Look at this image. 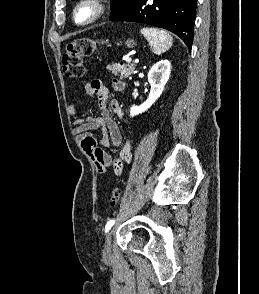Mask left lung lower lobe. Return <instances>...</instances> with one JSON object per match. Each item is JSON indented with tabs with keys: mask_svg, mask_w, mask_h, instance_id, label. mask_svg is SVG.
<instances>
[{
	"mask_svg": "<svg viewBox=\"0 0 259 294\" xmlns=\"http://www.w3.org/2000/svg\"><path fill=\"white\" fill-rule=\"evenodd\" d=\"M196 2L197 0H136L131 7L110 20L164 28L180 37L191 49Z\"/></svg>",
	"mask_w": 259,
	"mask_h": 294,
	"instance_id": "0a47b994",
	"label": "left lung lower lobe"
}]
</instances>
